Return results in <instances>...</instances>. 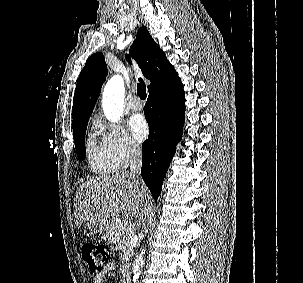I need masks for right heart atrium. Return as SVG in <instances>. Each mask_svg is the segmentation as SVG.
<instances>
[{
    "label": "right heart atrium",
    "instance_id": "obj_1",
    "mask_svg": "<svg viewBox=\"0 0 303 283\" xmlns=\"http://www.w3.org/2000/svg\"><path fill=\"white\" fill-rule=\"evenodd\" d=\"M100 144L109 157L118 165L125 166L141 153L140 145L121 124L97 121Z\"/></svg>",
    "mask_w": 303,
    "mask_h": 283
}]
</instances>
